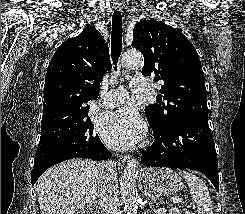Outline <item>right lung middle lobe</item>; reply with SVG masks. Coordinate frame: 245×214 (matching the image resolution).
I'll return each instance as SVG.
<instances>
[{
	"label": "right lung middle lobe",
	"mask_w": 245,
	"mask_h": 214,
	"mask_svg": "<svg viewBox=\"0 0 245 214\" xmlns=\"http://www.w3.org/2000/svg\"><path fill=\"white\" fill-rule=\"evenodd\" d=\"M97 137L88 113L54 128L41 130L39 144L60 143L71 149L84 151Z\"/></svg>",
	"instance_id": "1"
}]
</instances>
